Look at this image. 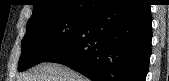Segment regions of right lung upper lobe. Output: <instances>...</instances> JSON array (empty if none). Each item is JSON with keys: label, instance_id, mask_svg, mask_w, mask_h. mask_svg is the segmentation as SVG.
<instances>
[{"label": "right lung upper lobe", "instance_id": "right-lung-upper-lobe-1", "mask_svg": "<svg viewBox=\"0 0 169 81\" xmlns=\"http://www.w3.org/2000/svg\"><path fill=\"white\" fill-rule=\"evenodd\" d=\"M110 0H34L33 14L28 23L51 16L89 17Z\"/></svg>", "mask_w": 169, "mask_h": 81}]
</instances>
